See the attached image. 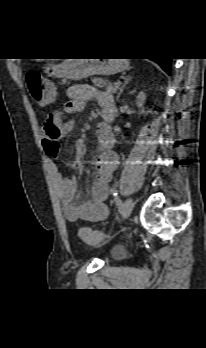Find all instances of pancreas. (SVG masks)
Here are the masks:
<instances>
[{
    "label": "pancreas",
    "mask_w": 206,
    "mask_h": 348,
    "mask_svg": "<svg viewBox=\"0 0 206 348\" xmlns=\"http://www.w3.org/2000/svg\"><path fill=\"white\" fill-rule=\"evenodd\" d=\"M92 82L94 83L95 86L99 88H104L108 92H111V93L117 92V87L113 86V84L106 79L96 77L92 79Z\"/></svg>",
    "instance_id": "cf45deb5"
}]
</instances>
